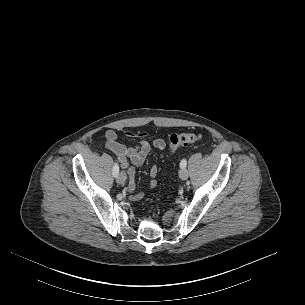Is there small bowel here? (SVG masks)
Here are the masks:
<instances>
[{"instance_id":"1","label":"small bowel","mask_w":305,"mask_h":305,"mask_svg":"<svg viewBox=\"0 0 305 305\" xmlns=\"http://www.w3.org/2000/svg\"><path fill=\"white\" fill-rule=\"evenodd\" d=\"M128 136H140L145 137L147 133L145 132H127ZM105 145L112 151L116 156L123 168H127V174L129 176L128 188L133 193L131 196L132 200H140L144 197L145 192H135V169L129 167V162L134 166H141L151 150V144L145 140H142L134 147H127L118 141V135L114 130H107L105 132ZM152 146L159 151V158L164 157V152L166 149V143L163 139L157 138L152 142ZM158 173V167L156 164L152 165L149 170V175L152 178L146 185V190H152L156 187L157 182L154 179Z\"/></svg>"}]
</instances>
